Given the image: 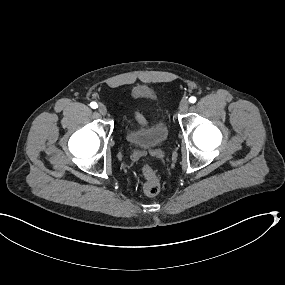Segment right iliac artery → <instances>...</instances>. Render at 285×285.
Segmentation results:
<instances>
[{
	"instance_id": "82829eb1",
	"label": "right iliac artery",
	"mask_w": 285,
	"mask_h": 285,
	"mask_svg": "<svg viewBox=\"0 0 285 285\" xmlns=\"http://www.w3.org/2000/svg\"><path fill=\"white\" fill-rule=\"evenodd\" d=\"M91 108L96 109L98 107L96 102H91L90 103Z\"/></svg>"
}]
</instances>
